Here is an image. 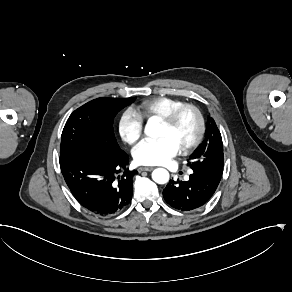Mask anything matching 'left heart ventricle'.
Listing matches in <instances>:
<instances>
[{
  "instance_id": "obj_1",
  "label": "left heart ventricle",
  "mask_w": 292,
  "mask_h": 292,
  "mask_svg": "<svg viewBox=\"0 0 292 292\" xmlns=\"http://www.w3.org/2000/svg\"><path fill=\"white\" fill-rule=\"evenodd\" d=\"M196 127L197 120L195 115L191 111H185L173 126H168L161 122L160 136H170L181 146L194 137Z\"/></svg>"
}]
</instances>
